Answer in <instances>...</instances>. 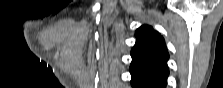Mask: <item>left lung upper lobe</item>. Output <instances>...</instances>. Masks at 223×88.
<instances>
[{
  "instance_id": "left-lung-upper-lobe-1",
  "label": "left lung upper lobe",
  "mask_w": 223,
  "mask_h": 88,
  "mask_svg": "<svg viewBox=\"0 0 223 88\" xmlns=\"http://www.w3.org/2000/svg\"><path fill=\"white\" fill-rule=\"evenodd\" d=\"M136 44L131 51L132 61L148 63L168 71L169 58L164 39L152 27L144 25L136 31Z\"/></svg>"
}]
</instances>
